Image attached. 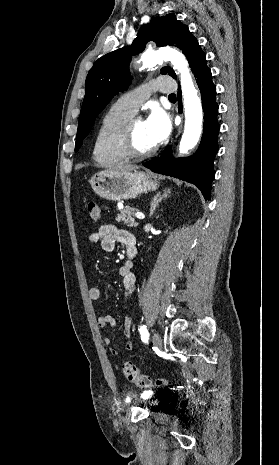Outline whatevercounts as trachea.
Instances as JSON below:
<instances>
[{"label": "trachea", "instance_id": "3493384b", "mask_svg": "<svg viewBox=\"0 0 279 465\" xmlns=\"http://www.w3.org/2000/svg\"><path fill=\"white\" fill-rule=\"evenodd\" d=\"M174 98H176V95H175V94H170V95H169V99H174Z\"/></svg>", "mask_w": 279, "mask_h": 465}]
</instances>
